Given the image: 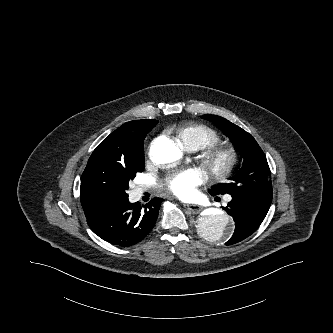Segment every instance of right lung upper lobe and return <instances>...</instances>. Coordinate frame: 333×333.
<instances>
[{"instance_id": "obj_1", "label": "right lung upper lobe", "mask_w": 333, "mask_h": 333, "mask_svg": "<svg viewBox=\"0 0 333 333\" xmlns=\"http://www.w3.org/2000/svg\"><path fill=\"white\" fill-rule=\"evenodd\" d=\"M144 139L143 120H135L123 124L97 146L89 158L85 171L89 169L92 163L100 159L111 158L117 161H125L140 154V152H143ZM80 199L84 211L93 209L106 202L91 194L85 176L81 180Z\"/></svg>"}]
</instances>
